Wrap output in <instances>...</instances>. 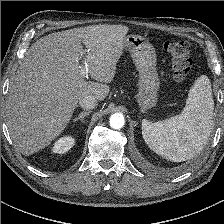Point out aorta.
Returning <instances> with one entry per match:
<instances>
[{
  "label": "aorta",
  "instance_id": "obj_1",
  "mask_svg": "<svg viewBox=\"0 0 224 224\" xmlns=\"http://www.w3.org/2000/svg\"><path fill=\"white\" fill-rule=\"evenodd\" d=\"M109 122L113 129H120L125 123L124 116L121 113H114L111 115Z\"/></svg>",
  "mask_w": 224,
  "mask_h": 224
}]
</instances>
